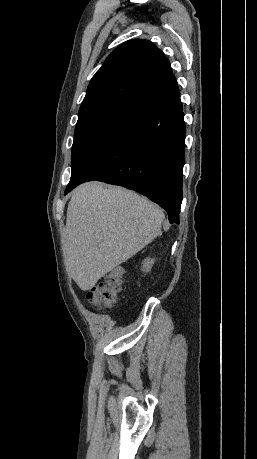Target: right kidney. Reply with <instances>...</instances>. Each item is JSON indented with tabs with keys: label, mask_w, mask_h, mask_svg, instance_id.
I'll list each match as a JSON object with an SVG mask.
<instances>
[{
	"label": "right kidney",
	"mask_w": 257,
	"mask_h": 459,
	"mask_svg": "<svg viewBox=\"0 0 257 459\" xmlns=\"http://www.w3.org/2000/svg\"><path fill=\"white\" fill-rule=\"evenodd\" d=\"M154 264V260L151 258H146L143 262L142 270L144 272H149Z\"/></svg>",
	"instance_id": "obj_1"
}]
</instances>
